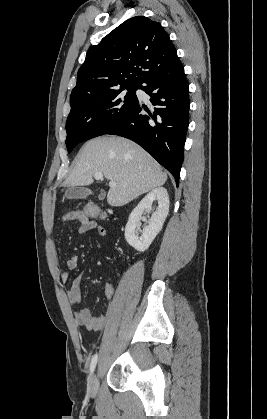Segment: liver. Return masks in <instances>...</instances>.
<instances>
[{"label": "liver", "instance_id": "liver-1", "mask_svg": "<svg viewBox=\"0 0 267 419\" xmlns=\"http://www.w3.org/2000/svg\"><path fill=\"white\" fill-rule=\"evenodd\" d=\"M98 172L116 183L107 194L109 205L116 207L162 186L167 180L162 167L143 148L119 136L97 137L85 143L64 186H88Z\"/></svg>", "mask_w": 267, "mask_h": 419}]
</instances>
